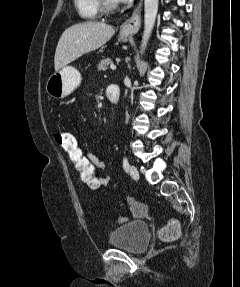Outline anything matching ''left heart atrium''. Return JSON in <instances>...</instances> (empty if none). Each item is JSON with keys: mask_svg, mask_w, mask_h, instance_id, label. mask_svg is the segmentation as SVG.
Listing matches in <instances>:
<instances>
[{"mask_svg": "<svg viewBox=\"0 0 240 287\" xmlns=\"http://www.w3.org/2000/svg\"><path fill=\"white\" fill-rule=\"evenodd\" d=\"M116 2H128V1H131V0H114Z\"/></svg>", "mask_w": 240, "mask_h": 287, "instance_id": "1", "label": "left heart atrium"}]
</instances>
